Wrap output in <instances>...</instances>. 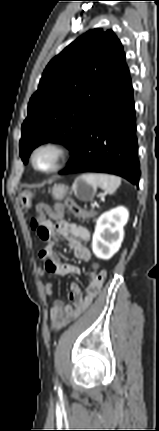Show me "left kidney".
<instances>
[{
  "instance_id": "1",
  "label": "left kidney",
  "mask_w": 159,
  "mask_h": 431,
  "mask_svg": "<svg viewBox=\"0 0 159 431\" xmlns=\"http://www.w3.org/2000/svg\"><path fill=\"white\" fill-rule=\"evenodd\" d=\"M128 218L129 212L123 206L105 212L98 218L92 238V251L96 257L109 260L118 252Z\"/></svg>"
}]
</instances>
